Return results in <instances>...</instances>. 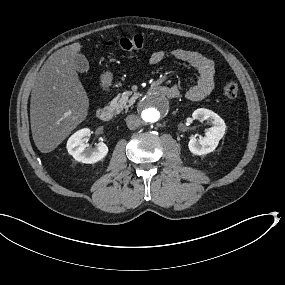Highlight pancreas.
I'll list each match as a JSON object with an SVG mask.
<instances>
[{"label": "pancreas", "instance_id": "pancreas-1", "mask_svg": "<svg viewBox=\"0 0 285 285\" xmlns=\"http://www.w3.org/2000/svg\"><path fill=\"white\" fill-rule=\"evenodd\" d=\"M139 96L137 91L124 92L117 94L114 97L113 102L108 103L110 110H115L116 114H119L123 109L129 108L134 102L138 101Z\"/></svg>", "mask_w": 285, "mask_h": 285}]
</instances>
